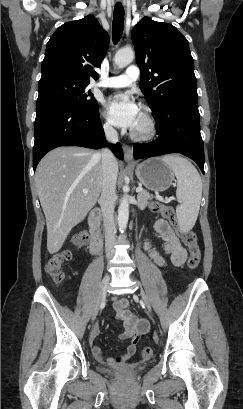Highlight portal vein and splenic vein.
Returning a JSON list of instances; mask_svg holds the SVG:
<instances>
[{"label": "portal vein and splenic vein", "instance_id": "1", "mask_svg": "<svg viewBox=\"0 0 243 409\" xmlns=\"http://www.w3.org/2000/svg\"><path fill=\"white\" fill-rule=\"evenodd\" d=\"M142 190H143L142 188L138 187V188L136 189V192H137V193H140ZM83 193H84V194H87V193H88V190L84 189V190H83Z\"/></svg>", "mask_w": 243, "mask_h": 409}]
</instances>
